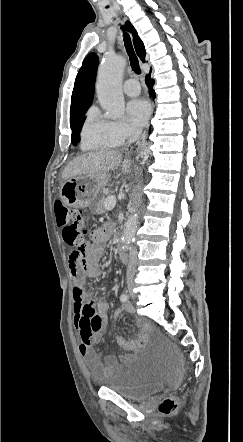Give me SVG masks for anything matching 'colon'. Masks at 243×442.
Here are the masks:
<instances>
[{"instance_id": "colon-1", "label": "colon", "mask_w": 243, "mask_h": 442, "mask_svg": "<svg viewBox=\"0 0 243 442\" xmlns=\"http://www.w3.org/2000/svg\"><path fill=\"white\" fill-rule=\"evenodd\" d=\"M57 226L62 227V236L65 244L73 248L70 259L79 263L85 256L87 219L77 209L69 208L61 199L54 203ZM177 409V401L174 397L164 399L159 411L164 415H169Z\"/></svg>"}]
</instances>
